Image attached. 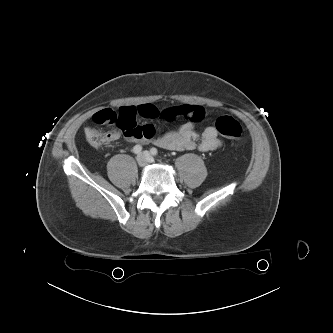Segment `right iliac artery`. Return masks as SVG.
Wrapping results in <instances>:
<instances>
[{
    "instance_id": "82829eb1",
    "label": "right iliac artery",
    "mask_w": 333,
    "mask_h": 333,
    "mask_svg": "<svg viewBox=\"0 0 333 333\" xmlns=\"http://www.w3.org/2000/svg\"><path fill=\"white\" fill-rule=\"evenodd\" d=\"M141 151H142V146H140V145H135V146L133 147V152H134L135 154H139Z\"/></svg>"
}]
</instances>
